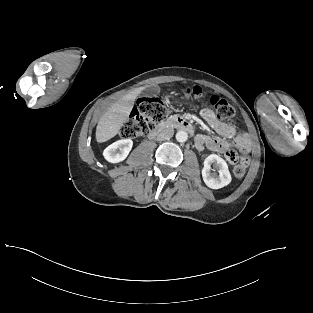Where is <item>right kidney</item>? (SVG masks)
<instances>
[{"mask_svg":"<svg viewBox=\"0 0 313 313\" xmlns=\"http://www.w3.org/2000/svg\"><path fill=\"white\" fill-rule=\"evenodd\" d=\"M133 146L131 139L118 140L103 152L104 158L110 163H118L126 159Z\"/></svg>","mask_w":313,"mask_h":313,"instance_id":"right-kidney-1","label":"right kidney"}]
</instances>
